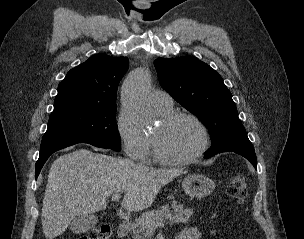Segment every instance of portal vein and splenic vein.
<instances>
[{
    "label": "portal vein and splenic vein",
    "mask_w": 304,
    "mask_h": 239,
    "mask_svg": "<svg viewBox=\"0 0 304 239\" xmlns=\"http://www.w3.org/2000/svg\"><path fill=\"white\" fill-rule=\"evenodd\" d=\"M120 198H121L120 193H115V194H112V196H111V200H112V201H116V202H119V201H120ZM162 225H163L162 222L153 223V225L150 226V230H154L155 228H157V227H159V226H162Z\"/></svg>",
    "instance_id": "1"
}]
</instances>
